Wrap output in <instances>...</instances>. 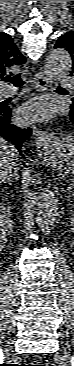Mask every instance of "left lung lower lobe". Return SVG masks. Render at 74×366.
Masks as SVG:
<instances>
[{
  "label": "left lung lower lobe",
  "mask_w": 74,
  "mask_h": 366,
  "mask_svg": "<svg viewBox=\"0 0 74 366\" xmlns=\"http://www.w3.org/2000/svg\"><path fill=\"white\" fill-rule=\"evenodd\" d=\"M70 120L72 121V123L74 124V101L71 105V110H70Z\"/></svg>",
  "instance_id": "left-lung-lower-lobe-1"
}]
</instances>
